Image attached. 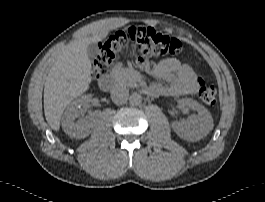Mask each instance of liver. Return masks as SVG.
I'll return each mask as SVG.
<instances>
[{"label": "liver", "instance_id": "6515ba94", "mask_svg": "<svg viewBox=\"0 0 265 202\" xmlns=\"http://www.w3.org/2000/svg\"><path fill=\"white\" fill-rule=\"evenodd\" d=\"M107 32L69 43L54 59L44 86V113L54 131H59L61 116L70 102L89 89L92 81L90 43L101 41Z\"/></svg>", "mask_w": 265, "mask_h": 202}]
</instances>
